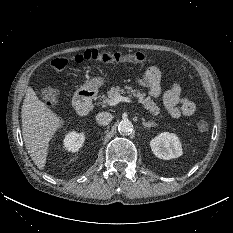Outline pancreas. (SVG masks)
<instances>
[{"label": "pancreas", "instance_id": "1", "mask_svg": "<svg viewBox=\"0 0 233 233\" xmlns=\"http://www.w3.org/2000/svg\"><path fill=\"white\" fill-rule=\"evenodd\" d=\"M125 93H128L130 94V96L137 98L138 101L142 103L144 108H146L153 116H156V117L159 116L160 108L153 101V99L150 96H146V94L141 92L140 90L133 89V87L131 86H125L124 88H121L119 86L112 87L107 92V96L101 95L99 97L104 104H107L111 98L117 95L125 94Z\"/></svg>", "mask_w": 233, "mask_h": 233}]
</instances>
